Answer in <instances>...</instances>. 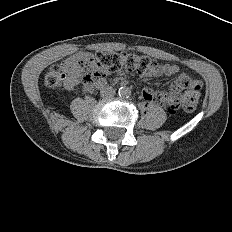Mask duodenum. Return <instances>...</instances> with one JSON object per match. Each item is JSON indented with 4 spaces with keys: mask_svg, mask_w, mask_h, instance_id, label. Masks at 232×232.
<instances>
[{
    "mask_svg": "<svg viewBox=\"0 0 232 232\" xmlns=\"http://www.w3.org/2000/svg\"><path fill=\"white\" fill-rule=\"evenodd\" d=\"M103 86H104V85L101 84L100 82H96V84H95L93 87H91L90 89L92 90L94 87L100 88V87H103Z\"/></svg>",
    "mask_w": 232,
    "mask_h": 232,
    "instance_id": "410a0bca",
    "label": "duodenum"
}]
</instances>
